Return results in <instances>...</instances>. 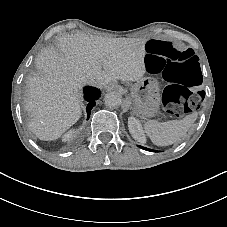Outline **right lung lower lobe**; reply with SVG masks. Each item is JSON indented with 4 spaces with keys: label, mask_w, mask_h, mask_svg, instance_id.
Returning <instances> with one entry per match:
<instances>
[{
    "label": "right lung lower lobe",
    "mask_w": 227,
    "mask_h": 227,
    "mask_svg": "<svg viewBox=\"0 0 227 227\" xmlns=\"http://www.w3.org/2000/svg\"><path fill=\"white\" fill-rule=\"evenodd\" d=\"M100 96V93L98 89L93 87H85L84 88V97L89 102L87 105V116L89 118L91 109L96 105L95 100L98 99Z\"/></svg>",
    "instance_id": "98d812e1"
}]
</instances>
